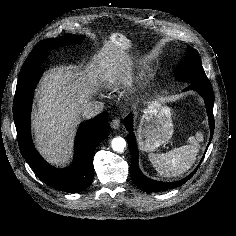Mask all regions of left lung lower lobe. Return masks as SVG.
I'll return each mask as SVG.
<instances>
[{"label":"left lung lower lobe","mask_w":236,"mask_h":236,"mask_svg":"<svg viewBox=\"0 0 236 236\" xmlns=\"http://www.w3.org/2000/svg\"><path fill=\"white\" fill-rule=\"evenodd\" d=\"M188 89L196 90L205 99L206 109H207V113L209 117V125L211 129V134H210V141H211L213 137V131H214V116H213L214 92H213L211 83L209 80L192 83L187 88V90ZM124 124H125L126 129L129 131L127 140H128V144L130 148V153H131L130 173L132 175V180L141 190L145 192H157V191L173 189V188L182 186L187 180H189L194 175V173L196 172L197 168L199 167V165L201 164L203 160L202 158L198 167L190 175H188L187 177L183 178L180 181L161 182V181L151 180L142 174L138 166V149H137L135 136L132 129L131 115L125 118Z\"/></svg>","instance_id":"obj_1"}]
</instances>
